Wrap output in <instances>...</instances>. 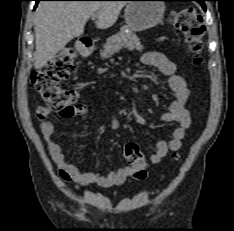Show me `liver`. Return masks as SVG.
<instances>
[{
	"mask_svg": "<svg viewBox=\"0 0 234 231\" xmlns=\"http://www.w3.org/2000/svg\"><path fill=\"white\" fill-rule=\"evenodd\" d=\"M124 1H42L35 13V69L42 68L74 37L84 32L92 14H98L96 27L115 24Z\"/></svg>",
	"mask_w": 234,
	"mask_h": 231,
	"instance_id": "liver-1",
	"label": "liver"
}]
</instances>
